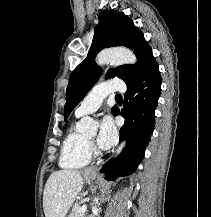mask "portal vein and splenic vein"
Wrapping results in <instances>:
<instances>
[{"label":"portal vein and splenic vein","instance_id":"18ae733b","mask_svg":"<svg viewBox=\"0 0 211 217\" xmlns=\"http://www.w3.org/2000/svg\"><path fill=\"white\" fill-rule=\"evenodd\" d=\"M86 210H87V205L84 204V205L81 207V212L84 213Z\"/></svg>","mask_w":211,"mask_h":217}]
</instances>
